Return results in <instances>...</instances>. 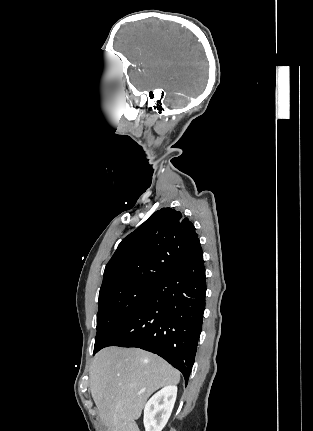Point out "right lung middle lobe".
<instances>
[{
    "instance_id": "right-lung-middle-lobe-1",
    "label": "right lung middle lobe",
    "mask_w": 313,
    "mask_h": 431,
    "mask_svg": "<svg viewBox=\"0 0 313 431\" xmlns=\"http://www.w3.org/2000/svg\"><path fill=\"white\" fill-rule=\"evenodd\" d=\"M155 288L156 286L129 288L109 292L99 297L94 354Z\"/></svg>"
}]
</instances>
